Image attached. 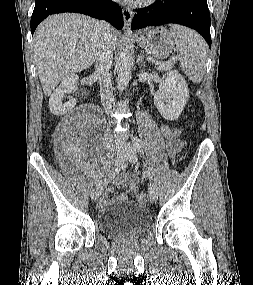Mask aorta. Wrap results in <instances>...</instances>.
I'll use <instances>...</instances> for the list:
<instances>
[{"instance_id":"1","label":"aorta","mask_w":253,"mask_h":285,"mask_svg":"<svg viewBox=\"0 0 253 285\" xmlns=\"http://www.w3.org/2000/svg\"><path fill=\"white\" fill-rule=\"evenodd\" d=\"M132 60V48L130 44L125 41L120 51L118 60L117 84L119 90H124L129 83L131 77Z\"/></svg>"}]
</instances>
